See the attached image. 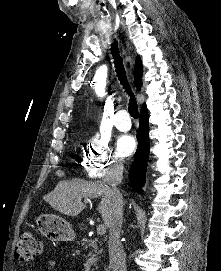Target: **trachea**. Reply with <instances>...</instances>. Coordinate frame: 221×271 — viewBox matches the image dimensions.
I'll return each mask as SVG.
<instances>
[{"instance_id": "3493384b", "label": "trachea", "mask_w": 221, "mask_h": 271, "mask_svg": "<svg viewBox=\"0 0 221 271\" xmlns=\"http://www.w3.org/2000/svg\"><path fill=\"white\" fill-rule=\"evenodd\" d=\"M111 53L114 57L117 77L120 80V83L123 86L124 90L130 97L128 111L133 118L137 119L139 118L137 101L127 81L126 72L122 63V58L119 55L118 45L116 41H114V43L112 44Z\"/></svg>"}]
</instances>
